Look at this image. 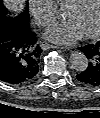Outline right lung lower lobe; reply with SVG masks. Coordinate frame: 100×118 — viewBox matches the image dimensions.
<instances>
[{"label": "right lung lower lobe", "mask_w": 100, "mask_h": 118, "mask_svg": "<svg viewBox=\"0 0 100 118\" xmlns=\"http://www.w3.org/2000/svg\"><path fill=\"white\" fill-rule=\"evenodd\" d=\"M42 49L29 27L0 31V80L10 84L29 82L38 72Z\"/></svg>", "instance_id": "obj_1"}]
</instances>
